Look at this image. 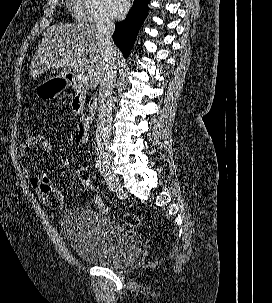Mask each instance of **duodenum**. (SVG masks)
Masks as SVG:
<instances>
[{"label": "duodenum", "mask_w": 272, "mask_h": 303, "mask_svg": "<svg viewBox=\"0 0 272 303\" xmlns=\"http://www.w3.org/2000/svg\"><path fill=\"white\" fill-rule=\"evenodd\" d=\"M65 81L68 86L76 90L72 99V109L80 117V120L75 129L74 138L76 142L82 143L88 138L89 126L94 119L97 104L94 100L84 103V89L73 74H67Z\"/></svg>", "instance_id": "obj_1"}]
</instances>
